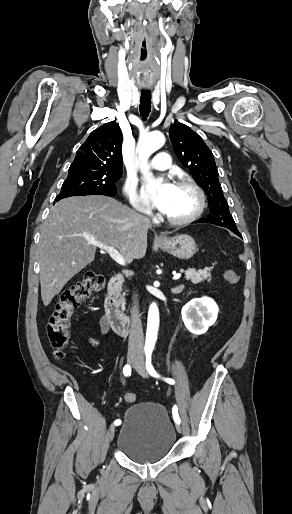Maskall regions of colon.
I'll use <instances>...</instances> for the list:
<instances>
[{
  "instance_id": "colon-1",
  "label": "colon",
  "mask_w": 292,
  "mask_h": 514,
  "mask_svg": "<svg viewBox=\"0 0 292 514\" xmlns=\"http://www.w3.org/2000/svg\"><path fill=\"white\" fill-rule=\"evenodd\" d=\"M86 273L84 278L70 288L63 291L59 301L56 303L55 312L47 323V338L54 351L57 359H63L64 350L68 347L70 339V325L76 309L91 294L102 289L104 285L103 275L91 271ZM225 276L232 285H236L239 281V275L235 271L228 269ZM124 401L128 404L136 402V396L127 393Z\"/></svg>"
}]
</instances>
